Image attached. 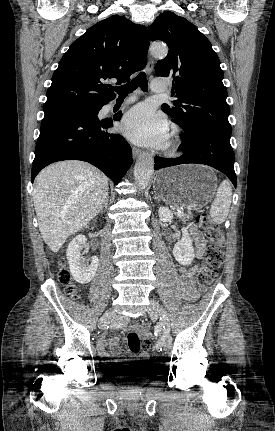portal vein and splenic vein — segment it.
<instances>
[{
  "mask_svg": "<svg viewBox=\"0 0 275 431\" xmlns=\"http://www.w3.org/2000/svg\"><path fill=\"white\" fill-rule=\"evenodd\" d=\"M175 214H176L177 216H182V215H184V213H183L182 211H180V210H177V212H175Z\"/></svg>",
  "mask_w": 275,
  "mask_h": 431,
  "instance_id": "18ae733b",
  "label": "portal vein and splenic vein"
}]
</instances>
